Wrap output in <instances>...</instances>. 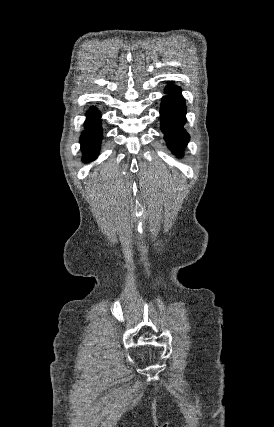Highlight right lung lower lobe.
Returning a JSON list of instances; mask_svg holds the SVG:
<instances>
[{
    "mask_svg": "<svg viewBox=\"0 0 274 427\" xmlns=\"http://www.w3.org/2000/svg\"><path fill=\"white\" fill-rule=\"evenodd\" d=\"M88 118L85 123V130L81 135V148L84 153V160L91 161L98 154L100 141L102 139V129L100 127V113L92 107L87 112Z\"/></svg>",
    "mask_w": 274,
    "mask_h": 427,
    "instance_id": "98d812e1",
    "label": "right lung lower lobe"
}]
</instances>
